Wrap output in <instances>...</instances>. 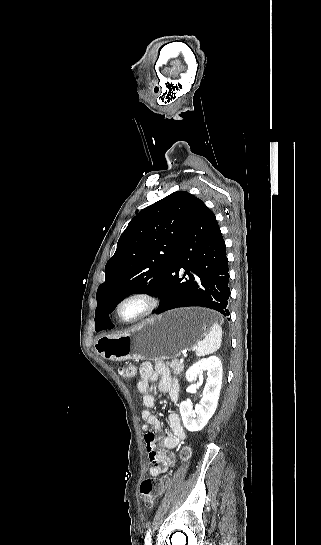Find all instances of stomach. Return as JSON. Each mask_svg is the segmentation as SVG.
Segmentation results:
<instances>
[{
	"mask_svg": "<svg viewBox=\"0 0 321 545\" xmlns=\"http://www.w3.org/2000/svg\"><path fill=\"white\" fill-rule=\"evenodd\" d=\"M214 311L187 307L145 319L122 335H100L96 351L105 359H175L192 351L210 329Z\"/></svg>",
	"mask_w": 321,
	"mask_h": 545,
	"instance_id": "stomach-1",
	"label": "stomach"
}]
</instances>
